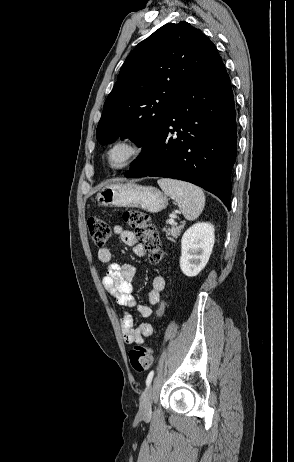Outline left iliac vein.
<instances>
[{
  "mask_svg": "<svg viewBox=\"0 0 294 462\" xmlns=\"http://www.w3.org/2000/svg\"><path fill=\"white\" fill-rule=\"evenodd\" d=\"M152 386H148L143 392L140 398V413L142 415H148L152 411Z\"/></svg>",
  "mask_w": 294,
  "mask_h": 462,
  "instance_id": "left-iliac-vein-1",
  "label": "left iliac vein"
}]
</instances>
